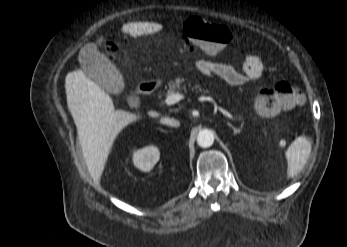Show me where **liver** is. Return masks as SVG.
Returning a JSON list of instances; mask_svg holds the SVG:
<instances>
[{
  "mask_svg": "<svg viewBox=\"0 0 347 247\" xmlns=\"http://www.w3.org/2000/svg\"><path fill=\"white\" fill-rule=\"evenodd\" d=\"M153 27L156 25L148 23L145 29L137 28L136 32V28L129 23L121 30L136 36ZM102 42V38L97 40L99 45ZM88 45L96 47V44L89 43L80 52ZM65 88L68 108L77 127L85 162L92 177L99 181L117 135L141 117L124 110H115L111 97L80 69L66 75ZM148 115L157 117L159 113L149 111Z\"/></svg>",
  "mask_w": 347,
  "mask_h": 247,
  "instance_id": "liver-1",
  "label": "liver"
}]
</instances>
